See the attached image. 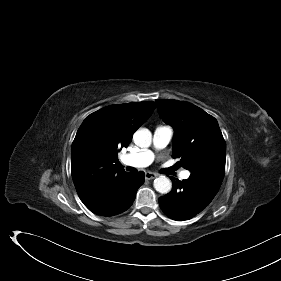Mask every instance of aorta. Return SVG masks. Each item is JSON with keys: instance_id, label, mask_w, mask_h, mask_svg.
<instances>
[{"instance_id": "762f6f07", "label": "aorta", "mask_w": 281, "mask_h": 281, "mask_svg": "<svg viewBox=\"0 0 281 281\" xmlns=\"http://www.w3.org/2000/svg\"><path fill=\"white\" fill-rule=\"evenodd\" d=\"M133 140L137 146L141 148H147L151 145L152 134L148 129L142 128L134 133ZM154 188L157 192L161 194H166L170 192L172 188V183L169 178L165 176H160L154 180Z\"/></svg>"}]
</instances>
